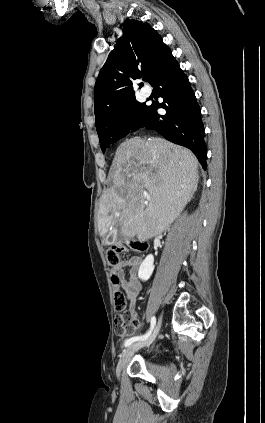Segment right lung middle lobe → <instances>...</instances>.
<instances>
[{
	"instance_id": "right-lung-middle-lobe-1",
	"label": "right lung middle lobe",
	"mask_w": 265,
	"mask_h": 423,
	"mask_svg": "<svg viewBox=\"0 0 265 423\" xmlns=\"http://www.w3.org/2000/svg\"><path fill=\"white\" fill-rule=\"evenodd\" d=\"M149 106L131 97L120 103L114 110L96 124L100 147L105 153L106 148L125 137L129 130L136 128L148 110Z\"/></svg>"
}]
</instances>
